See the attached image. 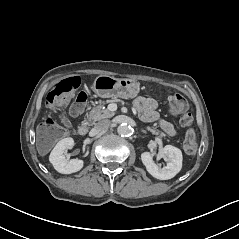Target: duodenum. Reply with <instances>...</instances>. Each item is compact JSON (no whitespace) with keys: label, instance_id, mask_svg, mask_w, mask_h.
<instances>
[{"label":"duodenum","instance_id":"obj_1","mask_svg":"<svg viewBox=\"0 0 239 239\" xmlns=\"http://www.w3.org/2000/svg\"><path fill=\"white\" fill-rule=\"evenodd\" d=\"M88 130H89L88 126L86 124H82L78 128V133H79V135L83 136L88 133Z\"/></svg>","mask_w":239,"mask_h":239}]
</instances>
